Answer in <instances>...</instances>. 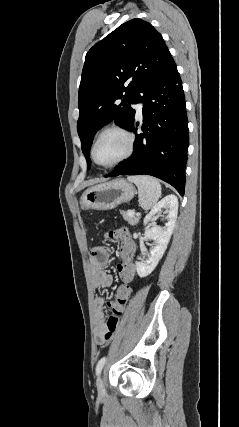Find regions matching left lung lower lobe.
<instances>
[{
  "label": "left lung lower lobe",
  "mask_w": 239,
  "mask_h": 427,
  "mask_svg": "<svg viewBox=\"0 0 239 427\" xmlns=\"http://www.w3.org/2000/svg\"><path fill=\"white\" fill-rule=\"evenodd\" d=\"M140 101L143 132L137 133L136 116L127 128L136 135L133 154L105 177L151 175L171 184L183 196L189 134L184 93L175 63Z\"/></svg>",
  "instance_id": "obj_1"
}]
</instances>
